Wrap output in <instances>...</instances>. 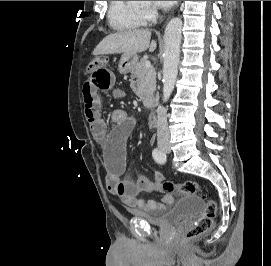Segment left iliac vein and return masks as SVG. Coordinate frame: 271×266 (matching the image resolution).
<instances>
[{
    "mask_svg": "<svg viewBox=\"0 0 271 266\" xmlns=\"http://www.w3.org/2000/svg\"><path fill=\"white\" fill-rule=\"evenodd\" d=\"M165 153H170V148L168 147L166 150H164Z\"/></svg>",
    "mask_w": 271,
    "mask_h": 266,
    "instance_id": "left-iliac-vein-1",
    "label": "left iliac vein"
}]
</instances>
